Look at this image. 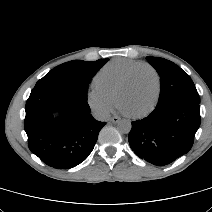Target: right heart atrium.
<instances>
[{
  "label": "right heart atrium",
  "mask_w": 212,
  "mask_h": 212,
  "mask_svg": "<svg viewBox=\"0 0 212 212\" xmlns=\"http://www.w3.org/2000/svg\"><path fill=\"white\" fill-rule=\"evenodd\" d=\"M86 101L88 106L101 116L109 114L115 104L114 97L102 91L97 85L88 91Z\"/></svg>",
  "instance_id": "obj_1"
}]
</instances>
